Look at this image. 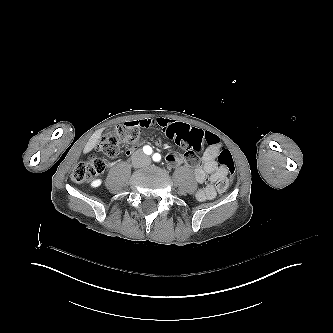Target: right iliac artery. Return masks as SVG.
<instances>
[{"instance_id": "1", "label": "right iliac artery", "mask_w": 333, "mask_h": 333, "mask_svg": "<svg viewBox=\"0 0 333 333\" xmlns=\"http://www.w3.org/2000/svg\"><path fill=\"white\" fill-rule=\"evenodd\" d=\"M143 151L144 153H146L147 155H150L152 153V148L150 146H144L143 147Z\"/></svg>"}]
</instances>
